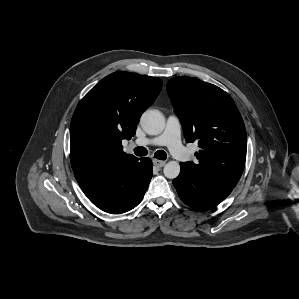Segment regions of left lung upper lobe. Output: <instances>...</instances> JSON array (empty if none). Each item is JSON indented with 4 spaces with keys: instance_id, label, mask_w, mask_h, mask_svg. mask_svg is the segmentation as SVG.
Wrapping results in <instances>:
<instances>
[{
    "instance_id": "5c2ea615",
    "label": "left lung upper lobe",
    "mask_w": 299,
    "mask_h": 299,
    "mask_svg": "<svg viewBox=\"0 0 299 299\" xmlns=\"http://www.w3.org/2000/svg\"><path fill=\"white\" fill-rule=\"evenodd\" d=\"M167 92L186 141H198V159L183 162L192 173L234 188L245 166L247 136L232 98L221 88L191 77L168 81Z\"/></svg>"
}]
</instances>
